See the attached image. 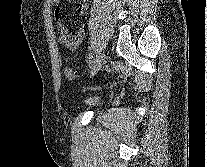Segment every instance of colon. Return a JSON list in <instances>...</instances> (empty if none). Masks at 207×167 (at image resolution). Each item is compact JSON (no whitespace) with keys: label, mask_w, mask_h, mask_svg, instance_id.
Listing matches in <instances>:
<instances>
[{"label":"colon","mask_w":207,"mask_h":167,"mask_svg":"<svg viewBox=\"0 0 207 167\" xmlns=\"http://www.w3.org/2000/svg\"><path fill=\"white\" fill-rule=\"evenodd\" d=\"M65 77L69 80H73L77 77V71L71 67H66L64 70Z\"/></svg>","instance_id":"1"}]
</instances>
